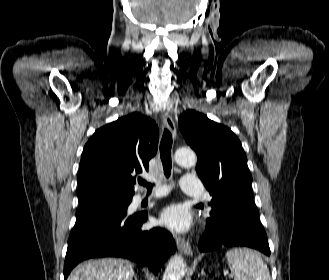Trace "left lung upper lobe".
I'll list each match as a JSON object with an SVG mask.
<instances>
[{
	"instance_id": "left-lung-upper-lobe-1",
	"label": "left lung upper lobe",
	"mask_w": 329,
	"mask_h": 280,
	"mask_svg": "<svg viewBox=\"0 0 329 280\" xmlns=\"http://www.w3.org/2000/svg\"><path fill=\"white\" fill-rule=\"evenodd\" d=\"M179 127L186 142L198 156L196 171L213 196L211 217L215 230L224 222L228 208L238 199L250 196L252 176L247 158L236 135L226 126L194 110L185 111Z\"/></svg>"
}]
</instances>
